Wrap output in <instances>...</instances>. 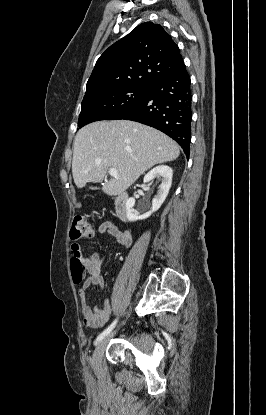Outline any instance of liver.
Segmentation results:
<instances>
[{"label":"liver","instance_id":"1","mask_svg":"<svg viewBox=\"0 0 266 415\" xmlns=\"http://www.w3.org/2000/svg\"><path fill=\"white\" fill-rule=\"evenodd\" d=\"M179 146L164 133L129 120L97 121L81 128L74 139L72 174L74 183H101L110 168L112 178L102 188L109 196L127 190L156 164L173 161Z\"/></svg>","mask_w":266,"mask_h":415}]
</instances>
